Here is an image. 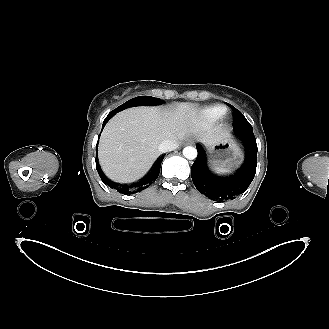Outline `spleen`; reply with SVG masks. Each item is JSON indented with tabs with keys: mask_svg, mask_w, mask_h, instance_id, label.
Wrapping results in <instances>:
<instances>
[{
	"mask_svg": "<svg viewBox=\"0 0 329 329\" xmlns=\"http://www.w3.org/2000/svg\"><path fill=\"white\" fill-rule=\"evenodd\" d=\"M218 173H223V174H228L230 173L231 171H228V170H217Z\"/></svg>",
	"mask_w": 329,
	"mask_h": 329,
	"instance_id": "obj_1",
	"label": "spleen"
}]
</instances>
